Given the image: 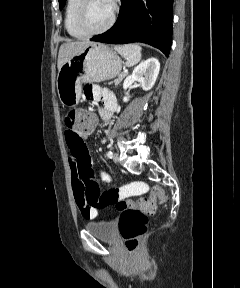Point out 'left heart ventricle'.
I'll return each mask as SVG.
<instances>
[{"mask_svg":"<svg viewBox=\"0 0 240 288\" xmlns=\"http://www.w3.org/2000/svg\"><path fill=\"white\" fill-rule=\"evenodd\" d=\"M112 12V4L107 0H90L87 6L85 22L88 28L95 30L104 26Z\"/></svg>","mask_w":240,"mask_h":288,"instance_id":"b2bd125f","label":"left heart ventricle"}]
</instances>
